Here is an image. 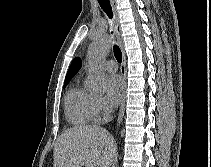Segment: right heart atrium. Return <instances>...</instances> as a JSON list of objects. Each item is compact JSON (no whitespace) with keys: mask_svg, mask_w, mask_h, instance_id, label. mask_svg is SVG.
<instances>
[{"mask_svg":"<svg viewBox=\"0 0 211 167\" xmlns=\"http://www.w3.org/2000/svg\"><path fill=\"white\" fill-rule=\"evenodd\" d=\"M92 110L95 116V120H100L107 113V107L105 106L103 100L95 95H92Z\"/></svg>","mask_w":211,"mask_h":167,"instance_id":"1","label":"right heart atrium"}]
</instances>
